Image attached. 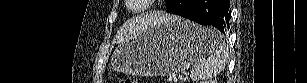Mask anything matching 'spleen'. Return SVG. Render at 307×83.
<instances>
[{
	"label": "spleen",
	"mask_w": 307,
	"mask_h": 83,
	"mask_svg": "<svg viewBox=\"0 0 307 83\" xmlns=\"http://www.w3.org/2000/svg\"><path fill=\"white\" fill-rule=\"evenodd\" d=\"M208 37L213 41V53L208 58L198 60L191 70L193 81L209 80L224 70L228 62V49L221 34L213 29H207Z\"/></svg>",
	"instance_id": "obj_1"
}]
</instances>
